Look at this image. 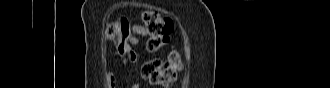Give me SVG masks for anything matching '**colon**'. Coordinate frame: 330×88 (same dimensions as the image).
<instances>
[{"label": "colon", "mask_w": 330, "mask_h": 88, "mask_svg": "<svg viewBox=\"0 0 330 88\" xmlns=\"http://www.w3.org/2000/svg\"><path fill=\"white\" fill-rule=\"evenodd\" d=\"M141 18L142 26L148 35L146 49L150 54H155L169 43L173 22L153 10H144ZM132 35L131 25L125 18L111 22L105 30V38L116 46L121 55L126 53ZM182 66L180 53L172 51L166 60L153 57L145 61L141 75L150 84L169 87L175 82Z\"/></svg>", "instance_id": "colon-1"}]
</instances>
